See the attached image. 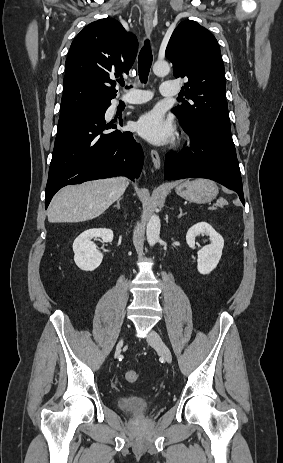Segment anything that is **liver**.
I'll return each instance as SVG.
<instances>
[{"label": "liver", "mask_w": 283, "mask_h": 463, "mask_svg": "<svg viewBox=\"0 0 283 463\" xmlns=\"http://www.w3.org/2000/svg\"><path fill=\"white\" fill-rule=\"evenodd\" d=\"M129 180L114 177L62 188L47 212L50 223H76L100 216L124 194Z\"/></svg>", "instance_id": "6515ba94"}]
</instances>
